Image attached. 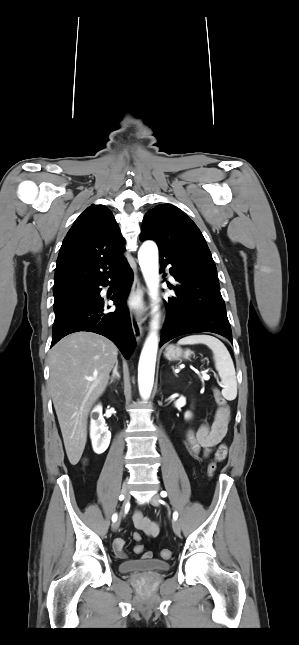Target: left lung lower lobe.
Listing matches in <instances>:
<instances>
[{"label":"left lung lower lobe","mask_w":299,"mask_h":645,"mask_svg":"<svg viewBox=\"0 0 299 645\" xmlns=\"http://www.w3.org/2000/svg\"><path fill=\"white\" fill-rule=\"evenodd\" d=\"M162 271L178 282L169 287L176 297L166 302V322L159 346L181 335L212 332L232 341L225 302L220 293L215 263L171 249L159 253Z\"/></svg>","instance_id":"obj_1"}]
</instances>
